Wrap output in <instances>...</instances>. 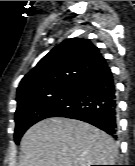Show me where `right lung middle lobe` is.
Here are the masks:
<instances>
[{
	"mask_svg": "<svg viewBox=\"0 0 135 166\" xmlns=\"http://www.w3.org/2000/svg\"><path fill=\"white\" fill-rule=\"evenodd\" d=\"M73 97V87L68 86L55 91L49 96L42 97L20 106L15 112V142L19 143L25 131L33 124L51 117L60 109L66 108Z\"/></svg>",
	"mask_w": 135,
	"mask_h": 166,
	"instance_id": "1",
	"label": "right lung middle lobe"
}]
</instances>
